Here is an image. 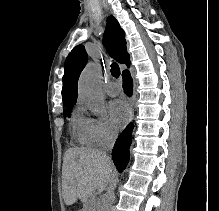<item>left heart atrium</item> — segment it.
I'll use <instances>...</instances> for the list:
<instances>
[{
	"label": "left heart atrium",
	"mask_w": 219,
	"mask_h": 211,
	"mask_svg": "<svg viewBox=\"0 0 219 211\" xmlns=\"http://www.w3.org/2000/svg\"><path fill=\"white\" fill-rule=\"evenodd\" d=\"M109 114L114 125L122 126L128 119V109L126 104L119 99L109 103Z\"/></svg>",
	"instance_id": "obj_1"
}]
</instances>
